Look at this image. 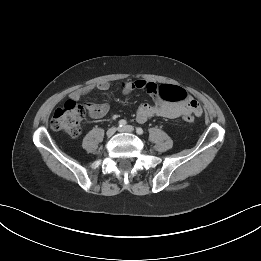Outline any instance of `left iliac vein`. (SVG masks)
<instances>
[{
    "mask_svg": "<svg viewBox=\"0 0 261 261\" xmlns=\"http://www.w3.org/2000/svg\"><path fill=\"white\" fill-rule=\"evenodd\" d=\"M119 131L120 132H129V133H131V132L134 131V128L131 125H127V126H124L123 128H120Z\"/></svg>",
    "mask_w": 261,
    "mask_h": 261,
    "instance_id": "left-iliac-vein-1",
    "label": "left iliac vein"
}]
</instances>
